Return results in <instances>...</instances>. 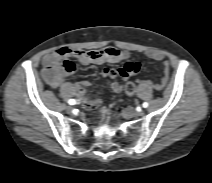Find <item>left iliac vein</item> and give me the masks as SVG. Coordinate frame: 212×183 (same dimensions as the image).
<instances>
[{
    "label": "left iliac vein",
    "mask_w": 212,
    "mask_h": 183,
    "mask_svg": "<svg viewBox=\"0 0 212 183\" xmlns=\"http://www.w3.org/2000/svg\"><path fill=\"white\" fill-rule=\"evenodd\" d=\"M124 114L126 116H134L135 115L134 111L131 108H129V107L124 109ZM138 114L142 115V111L138 112Z\"/></svg>",
    "instance_id": "4c4485c4"
}]
</instances>
